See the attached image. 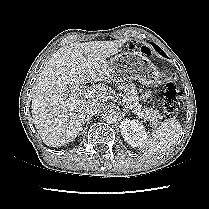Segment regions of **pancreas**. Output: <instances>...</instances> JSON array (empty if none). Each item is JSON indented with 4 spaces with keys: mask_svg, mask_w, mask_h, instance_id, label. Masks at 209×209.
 <instances>
[{
    "mask_svg": "<svg viewBox=\"0 0 209 209\" xmlns=\"http://www.w3.org/2000/svg\"><path fill=\"white\" fill-rule=\"evenodd\" d=\"M118 89L123 90L127 96V106L132 112H134L139 118L151 121L153 125H157L162 116L159 114L158 110H153L152 108H144L139 103L138 92L134 84L121 83Z\"/></svg>",
    "mask_w": 209,
    "mask_h": 209,
    "instance_id": "pancreas-1",
    "label": "pancreas"
}]
</instances>
